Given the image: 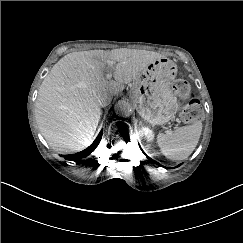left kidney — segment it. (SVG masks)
<instances>
[{
  "label": "left kidney",
  "mask_w": 243,
  "mask_h": 243,
  "mask_svg": "<svg viewBox=\"0 0 243 243\" xmlns=\"http://www.w3.org/2000/svg\"><path fill=\"white\" fill-rule=\"evenodd\" d=\"M140 135L143 136L147 142H151L154 139V133L148 127H142L140 130Z\"/></svg>",
  "instance_id": "left-kidney-1"
}]
</instances>
